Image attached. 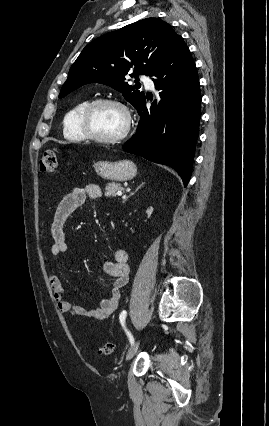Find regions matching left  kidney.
Here are the masks:
<instances>
[{
	"label": "left kidney",
	"instance_id": "5707ae66",
	"mask_svg": "<svg viewBox=\"0 0 269 426\" xmlns=\"http://www.w3.org/2000/svg\"><path fill=\"white\" fill-rule=\"evenodd\" d=\"M153 213V207L151 206V207H149L148 209H147V215H148V218H150V216H151V214Z\"/></svg>",
	"mask_w": 269,
	"mask_h": 426
}]
</instances>
